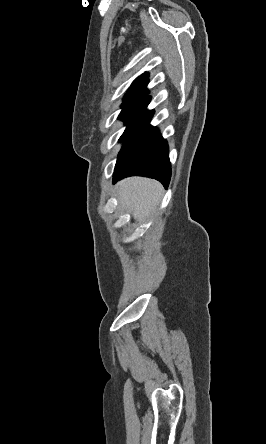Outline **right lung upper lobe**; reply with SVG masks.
<instances>
[{"label": "right lung upper lobe", "mask_w": 266, "mask_h": 444, "mask_svg": "<svg viewBox=\"0 0 266 444\" xmlns=\"http://www.w3.org/2000/svg\"><path fill=\"white\" fill-rule=\"evenodd\" d=\"M148 77L149 75L147 72L139 76L130 86L129 90L125 94L124 99L138 98V97L151 98V96L147 95L148 93L147 84L149 82Z\"/></svg>", "instance_id": "1"}]
</instances>
